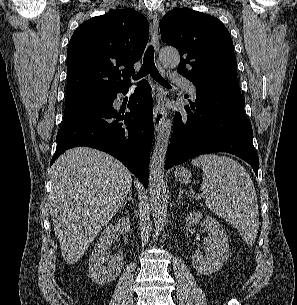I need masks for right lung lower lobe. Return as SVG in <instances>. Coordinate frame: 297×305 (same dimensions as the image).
<instances>
[{"label":"right lung lower lobe","mask_w":297,"mask_h":305,"mask_svg":"<svg viewBox=\"0 0 297 305\" xmlns=\"http://www.w3.org/2000/svg\"><path fill=\"white\" fill-rule=\"evenodd\" d=\"M110 94L109 105L81 114L62 124L57 134L53 162L67 149L88 146L102 150L121 161L148 187V165L154 135L152 95L143 80L127 104L130 112L116 110L113 102L118 92Z\"/></svg>","instance_id":"98d812e1"}]
</instances>
